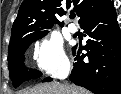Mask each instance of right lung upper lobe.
I'll use <instances>...</instances> for the list:
<instances>
[{
	"mask_svg": "<svg viewBox=\"0 0 121 94\" xmlns=\"http://www.w3.org/2000/svg\"><path fill=\"white\" fill-rule=\"evenodd\" d=\"M110 0H24L12 27L10 43L28 31H48L54 23L63 26L57 17L74 7L80 22L104 8Z\"/></svg>",
	"mask_w": 121,
	"mask_h": 94,
	"instance_id": "cb5924a9",
	"label": "right lung upper lobe"
}]
</instances>
